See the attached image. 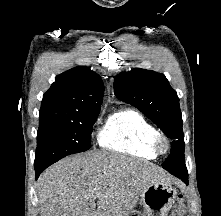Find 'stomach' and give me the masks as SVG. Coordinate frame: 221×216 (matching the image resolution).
I'll return each instance as SVG.
<instances>
[{"label": "stomach", "instance_id": "0dacf381", "mask_svg": "<svg viewBox=\"0 0 221 216\" xmlns=\"http://www.w3.org/2000/svg\"><path fill=\"white\" fill-rule=\"evenodd\" d=\"M176 189L168 181H156L140 194L142 212H131L128 216H167L176 199Z\"/></svg>", "mask_w": 221, "mask_h": 216}]
</instances>
